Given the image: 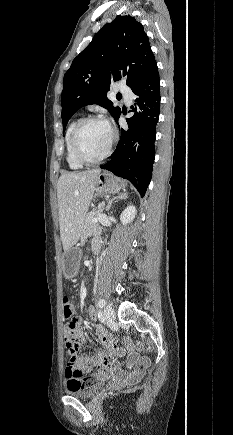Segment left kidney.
I'll use <instances>...</instances> for the list:
<instances>
[{"label":"left kidney","mask_w":233,"mask_h":435,"mask_svg":"<svg viewBox=\"0 0 233 435\" xmlns=\"http://www.w3.org/2000/svg\"><path fill=\"white\" fill-rule=\"evenodd\" d=\"M136 215L135 206H128L120 215V220L123 225L130 223Z\"/></svg>","instance_id":"1"}]
</instances>
